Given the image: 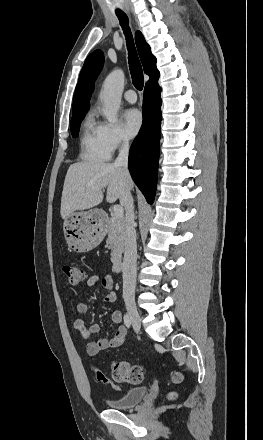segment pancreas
<instances>
[{
	"instance_id": "cf45deb5",
	"label": "pancreas",
	"mask_w": 263,
	"mask_h": 440,
	"mask_svg": "<svg viewBox=\"0 0 263 440\" xmlns=\"http://www.w3.org/2000/svg\"><path fill=\"white\" fill-rule=\"evenodd\" d=\"M125 221L123 217L113 216L108 221L107 244L111 247V262L118 263L124 249Z\"/></svg>"
}]
</instances>
